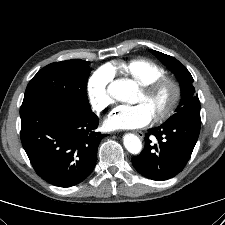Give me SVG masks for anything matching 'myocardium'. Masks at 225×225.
Returning <instances> with one entry per match:
<instances>
[{"label":"myocardium","instance_id":"obj_1","mask_svg":"<svg viewBox=\"0 0 225 225\" xmlns=\"http://www.w3.org/2000/svg\"><path fill=\"white\" fill-rule=\"evenodd\" d=\"M141 90L146 97L152 98L163 90L169 92L167 102L159 108L154 114L156 122H162L168 119L175 111L181 97V87L172 77L162 76L153 81L141 84Z\"/></svg>","mask_w":225,"mask_h":225}]
</instances>
